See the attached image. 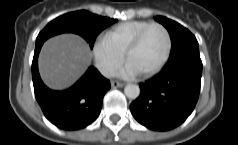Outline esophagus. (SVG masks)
I'll list each match as a JSON object with an SVG mask.
<instances>
[{"label": "esophagus", "instance_id": "1", "mask_svg": "<svg viewBox=\"0 0 238 145\" xmlns=\"http://www.w3.org/2000/svg\"><path fill=\"white\" fill-rule=\"evenodd\" d=\"M125 84L124 83H121V82H118V81H112L111 82V86L116 88V87H123Z\"/></svg>", "mask_w": 238, "mask_h": 145}]
</instances>
